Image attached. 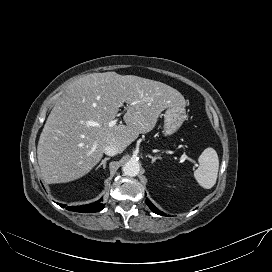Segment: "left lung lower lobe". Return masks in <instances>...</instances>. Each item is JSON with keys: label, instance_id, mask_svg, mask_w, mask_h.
Masks as SVG:
<instances>
[{"label": "left lung lower lobe", "instance_id": "1", "mask_svg": "<svg viewBox=\"0 0 272 272\" xmlns=\"http://www.w3.org/2000/svg\"><path fill=\"white\" fill-rule=\"evenodd\" d=\"M146 204L149 206V208L156 214L164 216V213L161 211H158V209L151 203L149 199H146Z\"/></svg>", "mask_w": 272, "mask_h": 272}]
</instances>
